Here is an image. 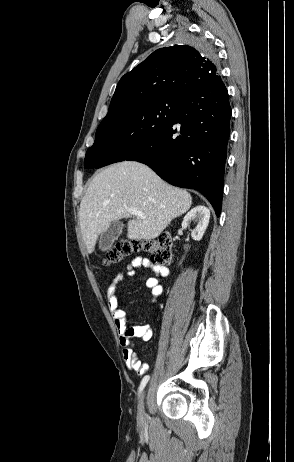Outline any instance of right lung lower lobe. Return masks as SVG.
Returning <instances> with one entry per match:
<instances>
[{"label": "right lung lower lobe", "mask_w": 294, "mask_h": 462, "mask_svg": "<svg viewBox=\"0 0 294 462\" xmlns=\"http://www.w3.org/2000/svg\"><path fill=\"white\" fill-rule=\"evenodd\" d=\"M231 107L221 78L191 90L171 121L125 160L148 165L172 185L200 191L221 212ZM105 166L99 153L85 168Z\"/></svg>", "instance_id": "98d812e1"}]
</instances>
